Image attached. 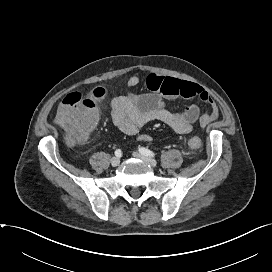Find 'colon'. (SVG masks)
<instances>
[{
  "instance_id": "5ec220e1",
  "label": "colon",
  "mask_w": 272,
  "mask_h": 272,
  "mask_svg": "<svg viewBox=\"0 0 272 272\" xmlns=\"http://www.w3.org/2000/svg\"><path fill=\"white\" fill-rule=\"evenodd\" d=\"M104 93L102 88H97L91 95L73 92L63 99L57 113V123L64 129L71 142L86 140L96 122V101L102 98ZM201 145L202 141L197 136L188 140L191 149H199Z\"/></svg>"
}]
</instances>
